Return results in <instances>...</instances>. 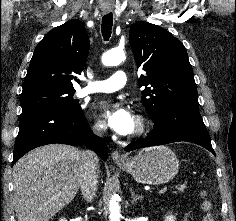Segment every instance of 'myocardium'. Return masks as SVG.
Returning a JSON list of instances; mask_svg holds the SVG:
<instances>
[{
  "instance_id": "obj_1",
  "label": "myocardium",
  "mask_w": 236,
  "mask_h": 221,
  "mask_svg": "<svg viewBox=\"0 0 236 221\" xmlns=\"http://www.w3.org/2000/svg\"><path fill=\"white\" fill-rule=\"evenodd\" d=\"M147 130H148L147 120L141 115H136L134 128L130 134V139L140 138L141 136L146 134Z\"/></svg>"
}]
</instances>
